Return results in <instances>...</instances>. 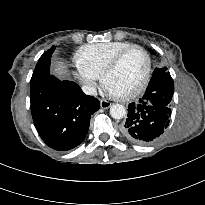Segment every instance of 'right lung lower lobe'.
<instances>
[{
	"instance_id": "obj_1",
	"label": "right lung lower lobe",
	"mask_w": 205,
	"mask_h": 205,
	"mask_svg": "<svg viewBox=\"0 0 205 205\" xmlns=\"http://www.w3.org/2000/svg\"><path fill=\"white\" fill-rule=\"evenodd\" d=\"M55 47L39 59L30 81L31 113L42 140L52 149L70 150L85 138L91 115L100 102L83 93L72 81L50 75V59Z\"/></svg>"
}]
</instances>
